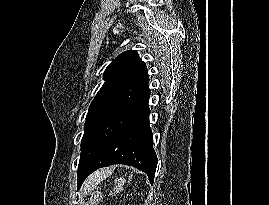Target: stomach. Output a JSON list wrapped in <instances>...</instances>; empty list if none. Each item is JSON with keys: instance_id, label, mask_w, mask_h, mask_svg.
Wrapping results in <instances>:
<instances>
[{"instance_id": "obj_1", "label": "stomach", "mask_w": 269, "mask_h": 205, "mask_svg": "<svg viewBox=\"0 0 269 205\" xmlns=\"http://www.w3.org/2000/svg\"><path fill=\"white\" fill-rule=\"evenodd\" d=\"M103 195L101 192L97 191L93 193L90 197V205H98V203L102 200Z\"/></svg>"}]
</instances>
